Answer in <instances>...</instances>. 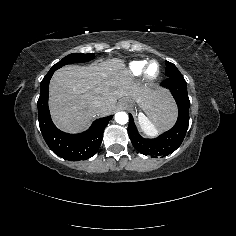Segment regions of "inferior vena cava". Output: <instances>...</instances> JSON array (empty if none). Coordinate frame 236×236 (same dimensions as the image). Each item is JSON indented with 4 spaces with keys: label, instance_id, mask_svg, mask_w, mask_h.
<instances>
[{
    "label": "inferior vena cava",
    "instance_id": "1",
    "mask_svg": "<svg viewBox=\"0 0 236 236\" xmlns=\"http://www.w3.org/2000/svg\"><path fill=\"white\" fill-rule=\"evenodd\" d=\"M101 106V102L96 101L91 104V107L94 109H98Z\"/></svg>",
    "mask_w": 236,
    "mask_h": 236
}]
</instances>
